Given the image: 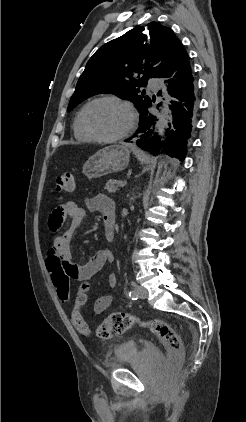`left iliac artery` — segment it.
<instances>
[{"label":"left iliac artery","instance_id":"left-iliac-artery-1","mask_svg":"<svg viewBox=\"0 0 246 422\" xmlns=\"http://www.w3.org/2000/svg\"><path fill=\"white\" fill-rule=\"evenodd\" d=\"M128 296L132 299V300H136L137 299V295L135 293V291L131 290L128 292Z\"/></svg>","mask_w":246,"mask_h":422}]
</instances>
